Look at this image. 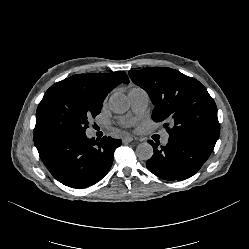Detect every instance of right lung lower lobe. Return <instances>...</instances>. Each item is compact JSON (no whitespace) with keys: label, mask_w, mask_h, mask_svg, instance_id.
<instances>
[{"label":"right lung lower lobe","mask_w":249,"mask_h":249,"mask_svg":"<svg viewBox=\"0 0 249 249\" xmlns=\"http://www.w3.org/2000/svg\"><path fill=\"white\" fill-rule=\"evenodd\" d=\"M34 143L54 178L72 188H85L108 173L121 140L104 136L99 141L85 132H60L36 133Z\"/></svg>","instance_id":"98d812e1"}]
</instances>
